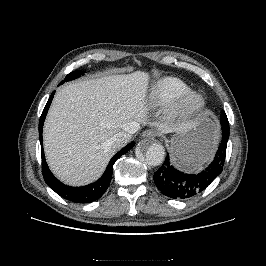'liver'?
<instances>
[{"label":"liver","instance_id":"6515ba94","mask_svg":"<svg viewBox=\"0 0 266 266\" xmlns=\"http://www.w3.org/2000/svg\"><path fill=\"white\" fill-rule=\"evenodd\" d=\"M147 72L112 75L60 88L44 124V150L52 172L80 186L97 180L116 150L110 139L131 124H146ZM163 132L178 131L166 124Z\"/></svg>","mask_w":266,"mask_h":266}]
</instances>
